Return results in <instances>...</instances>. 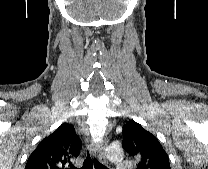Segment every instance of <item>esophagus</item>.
<instances>
[{"label":"esophagus","mask_w":208,"mask_h":169,"mask_svg":"<svg viewBox=\"0 0 208 169\" xmlns=\"http://www.w3.org/2000/svg\"><path fill=\"white\" fill-rule=\"evenodd\" d=\"M106 144H107V141L104 140L101 143L95 145V148H94L95 152H97V156H98L99 161L104 165L107 164V159L104 155V151L106 149Z\"/></svg>","instance_id":"esophagus-1"}]
</instances>
